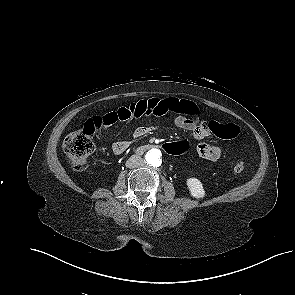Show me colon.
<instances>
[{
  "label": "colon",
  "instance_id": "1",
  "mask_svg": "<svg viewBox=\"0 0 295 295\" xmlns=\"http://www.w3.org/2000/svg\"><path fill=\"white\" fill-rule=\"evenodd\" d=\"M181 113L189 116H197L199 114L198 107L187 100H181L180 102ZM102 126V119L99 116L88 119L83 125L82 129L69 133L64 142L63 149L66 153L71 165L79 170H85L88 165V157L95 149L94 134ZM209 129L217 137L222 139L236 138L240 133V128L232 123H218L210 122ZM160 148L163 152L175 155L184 153L188 149V143L179 138L175 140H165L161 143ZM244 169V163L239 161L234 164L233 171L238 174Z\"/></svg>",
  "mask_w": 295,
  "mask_h": 295
}]
</instances>
